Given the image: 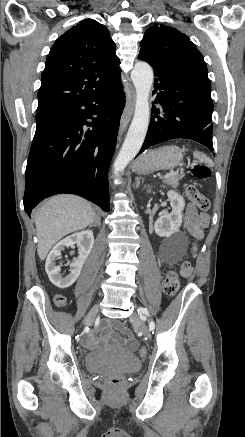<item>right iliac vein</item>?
Here are the masks:
<instances>
[{"label":"right iliac vein","mask_w":245,"mask_h":437,"mask_svg":"<svg viewBox=\"0 0 245 437\" xmlns=\"http://www.w3.org/2000/svg\"><path fill=\"white\" fill-rule=\"evenodd\" d=\"M98 309H99V305L97 304L91 308V310L89 311V313L87 314L84 320L85 325H90L94 321L95 316L98 313Z\"/></svg>","instance_id":"1"}]
</instances>
